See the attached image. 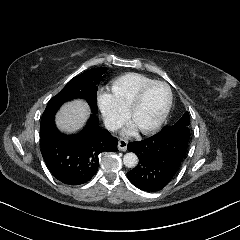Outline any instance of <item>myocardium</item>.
<instances>
[{
	"instance_id": "1",
	"label": "myocardium",
	"mask_w": 240,
	"mask_h": 240,
	"mask_svg": "<svg viewBox=\"0 0 240 240\" xmlns=\"http://www.w3.org/2000/svg\"><path fill=\"white\" fill-rule=\"evenodd\" d=\"M155 85H161L166 88L167 90V98L166 102L164 104L163 110L159 116V118L150 126L146 128L139 129L140 133L143 135H150L154 132H156L162 124L165 122L168 113L170 111V107L172 104V91L169 87V85L163 81H152L146 85H144L136 94L133 102L129 106V108L125 111V118L127 123H131L133 116L135 115L136 111L140 108L142 105L143 99L146 95V93L149 91V89Z\"/></svg>"
}]
</instances>
